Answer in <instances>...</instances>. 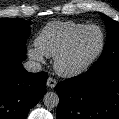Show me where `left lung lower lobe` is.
Masks as SVG:
<instances>
[{
    "instance_id": "obj_1",
    "label": "left lung lower lobe",
    "mask_w": 119,
    "mask_h": 119,
    "mask_svg": "<svg viewBox=\"0 0 119 119\" xmlns=\"http://www.w3.org/2000/svg\"><path fill=\"white\" fill-rule=\"evenodd\" d=\"M57 119H119V62L57 84Z\"/></svg>"
}]
</instances>
